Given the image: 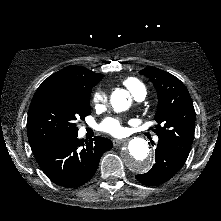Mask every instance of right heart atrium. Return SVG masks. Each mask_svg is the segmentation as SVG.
I'll return each instance as SVG.
<instances>
[{"label": "right heart atrium", "mask_w": 221, "mask_h": 221, "mask_svg": "<svg viewBox=\"0 0 221 221\" xmlns=\"http://www.w3.org/2000/svg\"><path fill=\"white\" fill-rule=\"evenodd\" d=\"M92 101L95 107H101L107 102V95L104 91L98 90L94 93Z\"/></svg>", "instance_id": "1"}]
</instances>
